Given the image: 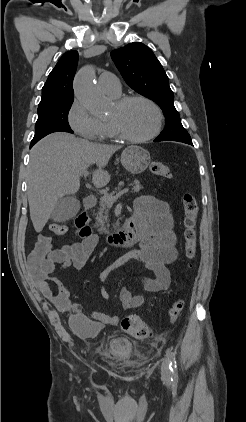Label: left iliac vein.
Returning <instances> with one entry per match:
<instances>
[{
    "instance_id": "4c4485c4",
    "label": "left iliac vein",
    "mask_w": 246,
    "mask_h": 422,
    "mask_svg": "<svg viewBox=\"0 0 246 422\" xmlns=\"http://www.w3.org/2000/svg\"><path fill=\"white\" fill-rule=\"evenodd\" d=\"M161 374L164 381L168 382L170 380L171 372L169 369V361L167 359H165L162 363Z\"/></svg>"
}]
</instances>
